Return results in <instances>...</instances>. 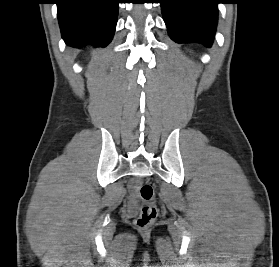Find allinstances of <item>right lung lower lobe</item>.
Here are the masks:
<instances>
[{
  "label": "right lung lower lobe",
  "instance_id": "98d812e1",
  "mask_svg": "<svg viewBox=\"0 0 279 267\" xmlns=\"http://www.w3.org/2000/svg\"><path fill=\"white\" fill-rule=\"evenodd\" d=\"M62 37L67 45L107 46L114 35L118 0H56Z\"/></svg>",
  "mask_w": 279,
  "mask_h": 267
}]
</instances>
